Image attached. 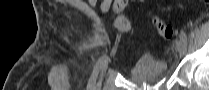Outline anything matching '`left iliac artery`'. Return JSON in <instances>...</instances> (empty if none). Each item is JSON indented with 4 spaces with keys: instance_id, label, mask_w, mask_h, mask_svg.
Segmentation results:
<instances>
[{
    "instance_id": "left-iliac-artery-1",
    "label": "left iliac artery",
    "mask_w": 209,
    "mask_h": 90,
    "mask_svg": "<svg viewBox=\"0 0 209 90\" xmlns=\"http://www.w3.org/2000/svg\"><path fill=\"white\" fill-rule=\"evenodd\" d=\"M179 36H181L180 38H181V40H182L183 42L187 43V37H186V35L184 34V29H180V31H179Z\"/></svg>"
}]
</instances>
